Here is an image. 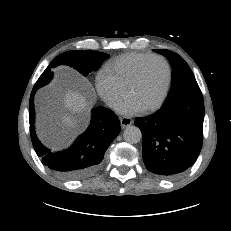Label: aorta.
<instances>
[{
    "mask_svg": "<svg viewBox=\"0 0 231 231\" xmlns=\"http://www.w3.org/2000/svg\"><path fill=\"white\" fill-rule=\"evenodd\" d=\"M123 138L129 144H136L142 139V133L137 126H128L124 130Z\"/></svg>",
    "mask_w": 231,
    "mask_h": 231,
    "instance_id": "1",
    "label": "aorta"
}]
</instances>
